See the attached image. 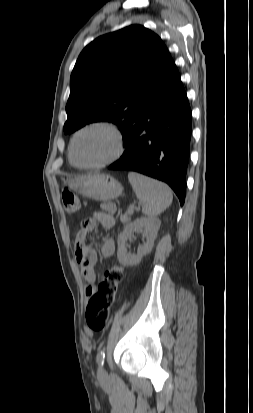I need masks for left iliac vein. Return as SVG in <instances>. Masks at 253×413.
I'll use <instances>...</instances> for the list:
<instances>
[{"instance_id":"1","label":"left iliac vein","mask_w":253,"mask_h":413,"mask_svg":"<svg viewBox=\"0 0 253 413\" xmlns=\"http://www.w3.org/2000/svg\"><path fill=\"white\" fill-rule=\"evenodd\" d=\"M98 377L100 379H103V378L106 377V371L102 366H100L99 369H98Z\"/></svg>"}]
</instances>
